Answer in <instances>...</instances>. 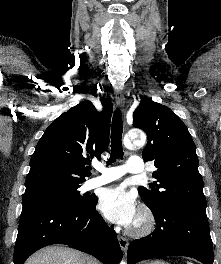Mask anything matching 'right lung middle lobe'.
<instances>
[{
  "label": "right lung middle lobe",
  "mask_w": 221,
  "mask_h": 264,
  "mask_svg": "<svg viewBox=\"0 0 221 264\" xmlns=\"http://www.w3.org/2000/svg\"><path fill=\"white\" fill-rule=\"evenodd\" d=\"M81 183L54 182L30 189L23 195V205L30 203H48L58 206L80 207L88 204L93 196L80 195Z\"/></svg>",
  "instance_id": "obj_1"
}]
</instances>
